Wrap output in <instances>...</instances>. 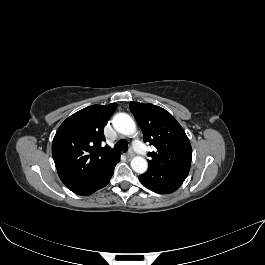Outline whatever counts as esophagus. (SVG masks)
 <instances>
[{
  "label": "esophagus",
  "mask_w": 265,
  "mask_h": 265,
  "mask_svg": "<svg viewBox=\"0 0 265 265\" xmlns=\"http://www.w3.org/2000/svg\"><path fill=\"white\" fill-rule=\"evenodd\" d=\"M126 156H127L128 158H131V157L134 156V152H133L132 150H130V151H128V152L126 153Z\"/></svg>",
  "instance_id": "34e87169"
}]
</instances>
